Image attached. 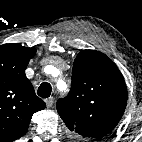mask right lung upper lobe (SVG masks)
I'll use <instances>...</instances> for the list:
<instances>
[{
    "label": "right lung upper lobe",
    "mask_w": 142,
    "mask_h": 142,
    "mask_svg": "<svg viewBox=\"0 0 142 142\" xmlns=\"http://www.w3.org/2000/svg\"><path fill=\"white\" fill-rule=\"evenodd\" d=\"M35 52L17 43L0 46V142L19 139L27 132L32 115L46 106L25 75Z\"/></svg>",
    "instance_id": "obj_1"
}]
</instances>
